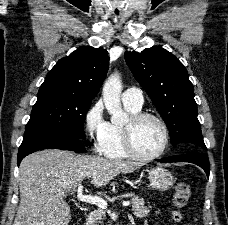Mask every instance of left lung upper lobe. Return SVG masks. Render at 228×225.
I'll list each match as a JSON object with an SVG mask.
<instances>
[{
	"mask_svg": "<svg viewBox=\"0 0 228 225\" xmlns=\"http://www.w3.org/2000/svg\"><path fill=\"white\" fill-rule=\"evenodd\" d=\"M125 60L164 119L171 143H186L190 152L205 151L193 85L183 64L160 47L126 52Z\"/></svg>",
	"mask_w": 228,
	"mask_h": 225,
	"instance_id": "left-lung-upper-lobe-1",
	"label": "left lung upper lobe"
}]
</instances>
